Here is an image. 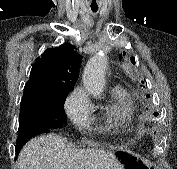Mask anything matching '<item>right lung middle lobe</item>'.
Wrapping results in <instances>:
<instances>
[{"instance_id":"dd1d6c3e","label":"right lung middle lobe","mask_w":177,"mask_h":169,"mask_svg":"<svg viewBox=\"0 0 177 169\" xmlns=\"http://www.w3.org/2000/svg\"><path fill=\"white\" fill-rule=\"evenodd\" d=\"M67 95L55 101L25 100L20 104V123L32 121L48 128L60 127L66 122L64 101Z\"/></svg>"}]
</instances>
